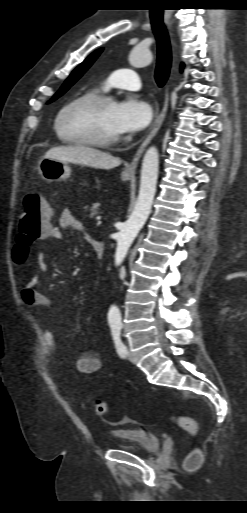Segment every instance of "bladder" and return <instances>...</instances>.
Wrapping results in <instances>:
<instances>
[{
  "mask_svg": "<svg viewBox=\"0 0 247 513\" xmlns=\"http://www.w3.org/2000/svg\"><path fill=\"white\" fill-rule=\"evenodd\" d=\"M111 450H126L153 454L161 447V438L145 430L122 428L112 432Z\"/></svg>",
  "mask_w": 247,
  "mask_h": 513,
  "instance_id": "bladder-1",
  "label": "bladder"
}]
</instances>
